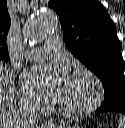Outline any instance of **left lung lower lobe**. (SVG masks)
Masks as SVG:
<instances>
[{"instance_id":"left-lung-lower-lobe-1","label":"left lung lower lobe","mask_w":125,"mask_h":128,"mask_svg":"<svg viewBox=\"0 0 125 128\" xmlns=\"http://www.w3.org/2000/svg\"><path fill=\"white\" fill-rule=\"evenodd\" d=\"M108 111L125 114V100H122L115 104L102 105L99 109L96 110V113Z\"/></svg>"}]
</instances>
